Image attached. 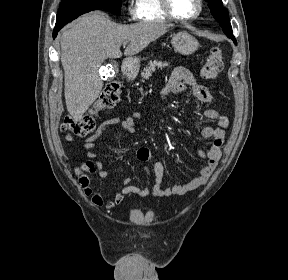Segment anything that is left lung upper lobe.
Instances as JSON below:
<instances>
[{
	"instance_id": "left-lung-upper-lobe-1",
	"label": "left lung upper lobe",
	"mask_w": 288,
	"mask_h": 280,
	"mask_svg": "<svg viewBox=\"0 0 288 280\" xmlns=\"http://www.w3.org/2000/svg\"><path fill=\"white\" fill-rule=\"evenodd\" d=\"M211 9L213 17L219 22L224 33L237 44L236 39L232 32L229 14L227 9L223 8L222 0H206Z\"/></svg>"
}]
</instances>
